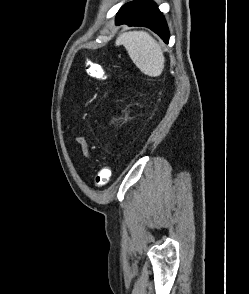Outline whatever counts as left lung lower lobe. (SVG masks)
<instances>
[{
    "label": "left lung lower lobe",
    "instance_id": "1",
    "mask_svg": "<svg viewBox=\"0 0 249 294\" xmlns=\"http://www.w3.org/2000/svg\"><path fill=\"white\" fill-rule=\"evenodd\" d=\"M120 24L148 27L168 43L169 31L165 19L151 0H134L122 6L116 18V25Z\"/></svg>",
    "mask_w": 249,
    "mask_h": 294
}]
</instances>
